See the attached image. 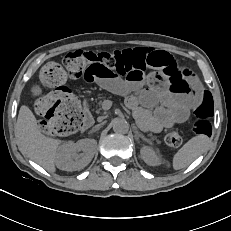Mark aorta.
Masks as SVG:
<instances>
[{"instance_id": "aorta-1", "label": "aorta", "mask_w": 231, "mask_h": 231, "mask_svg": "<svg viewBox=\"0 0 231 231\" xmlns=\"http://www.w3.org/2000/svg\"><path fill=\"white\" fill-rule=\"evenodd\" d=\"M113 131L117 134H126L129 130V124L126 120L115 119L112 123Z\"/></svg>"}]
</instances>
